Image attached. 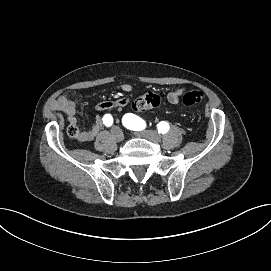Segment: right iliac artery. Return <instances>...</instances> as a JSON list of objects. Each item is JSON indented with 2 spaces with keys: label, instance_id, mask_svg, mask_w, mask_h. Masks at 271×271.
Wrapping results in <instances>:
<instances>
[{
  "label": "right iliac artery",
  "instance_id": "82829eb1",
  "mask_svg": "<svg viewBox=\"0 0 271 271\" xmlns=\"http://www.w3.org/2000/svg\"><path fill=\"white\" fill-rule=\"evenodd\" d=\"M102 120L107 127H110L113 123V117L110 114H105Z\"/></svg>",
  "mask_w": 271,
  "mask_h": 271
}]
</instances>
